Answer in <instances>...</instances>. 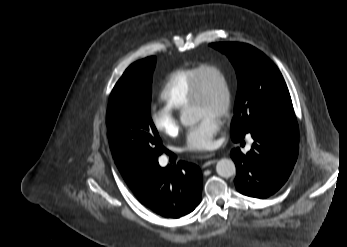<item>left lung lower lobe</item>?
Wrapping results in <instances>:
<instances>
[{
	"mask_svg": "<svg viewBox=\"0 0 347 247\" xmlns=\"http://www.w3.org/2000/svg\"><path fill=\"white\" fill-rule=\"evenodd\" d=\"M249 134L254 142L247 154L239 148L231 151L237 169L234 182L240 193L266 198L284 185L293 169L298 156V125L296 121L276 120L252 129ZM244 136L231 138L240 142Z\"/></svg>",
	"mask_w": 347,
	"mask_h": 247,
	"instance_id": "obj_1",
	"label": "left lung lower lobe"
}]
</instances>
